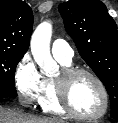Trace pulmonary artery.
<instances>
[{"label": "pulmonary artery", "mask_w": 118, "mask_h": 123, "mask_svg": "<svg viewBox=\"0 0 118 123\" xmlns=\"http://www.w3.org/2000/svg\"><path fill=\"white\" fill-rule=\"evenodd\" d=\"M51 53L58 61L71 62L74 51L64 40L57 39L52 43Z\"/></svg>", "instance_id": "pulmonary-artery-1"}]
</instances>
